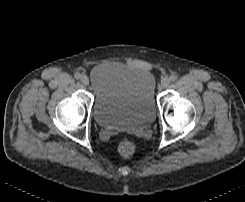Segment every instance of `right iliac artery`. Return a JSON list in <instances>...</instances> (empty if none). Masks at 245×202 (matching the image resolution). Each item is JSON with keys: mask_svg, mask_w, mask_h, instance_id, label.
<instances>
[{"mask_svg": "<svg viewBox=\"0 0 245 202\" xmlns=\"http://www.w3.org/2000/svg\"><path fill=\"white\" fill-rule=\"evenodd\" d=\"M74 77H75L76 79H80V78H81V74H80V73H75Z\"/></svg>", "mask_w": 245, "mask_h": 202, "instance_id": "1", "label": "right iliac artery"}]
</instances>
